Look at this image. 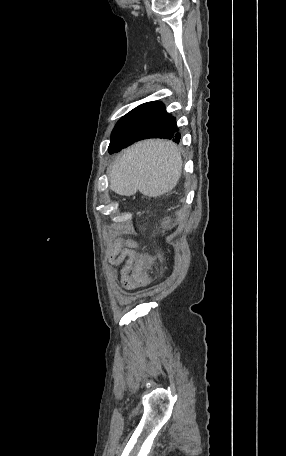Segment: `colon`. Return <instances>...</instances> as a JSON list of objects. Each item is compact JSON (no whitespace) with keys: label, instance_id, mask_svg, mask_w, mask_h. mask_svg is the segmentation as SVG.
<instances>
[{"label":"colon","instance_id":"5ec220e1","mask_svg":"<svg viewBox=\"0 0 286 456\" xmlns=\"http://www.w3.org/2000/svg\"><path fill=\"white\" fill-rule=\"evenodd\" d=\"M157 257L150 254H139L135 257L131 268V276L139 285L147 284L150 281L149 270L153 267Z\"/></svg>","mask_w":286,"mask_h":456}]
</instances>
